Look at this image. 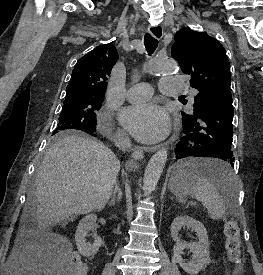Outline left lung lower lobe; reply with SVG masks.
<instances>
[{
  "instance_id": "0a47b994",
  "label": "left lung lower lobe",
  "mask_w": 263,
  "mask_h": 275,
  "mask_svg": "<svg viewBox=\"0 0 263 275\" xmlns=\"http://www.w3.org/2000/svg\"><path fill=\"white\" fill-rule=\"evenodd\" d=\"M233 106L231 95H222L208 103L193 121H182L183 134L175 148V158L213 157L234 166L231 150L233 136ZM209 177L223 173L219 169H206Z\"/></svg>"
}]
</instances>
